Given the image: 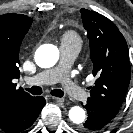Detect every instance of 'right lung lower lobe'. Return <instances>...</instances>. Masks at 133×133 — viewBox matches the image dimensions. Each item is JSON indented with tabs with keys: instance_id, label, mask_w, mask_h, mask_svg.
<instances>
[{
	"instance_id": "98d812e1",
	"label": "right lung lower lobe",
	"mask_w": 133,
	"mask_h": 133,
	"mask_svg": "<svg viewBox=\"0 0 133 133\" xmlns=\"http://www.w3.org/2000/svg\"><path fill=\"white\" fill-rule=\"evenodd\" d=\"M46 101L43 97H29L17 104L15 109L0 122V129L6 133H19L29 128Z\"/></svg>"
}]
</instances>
